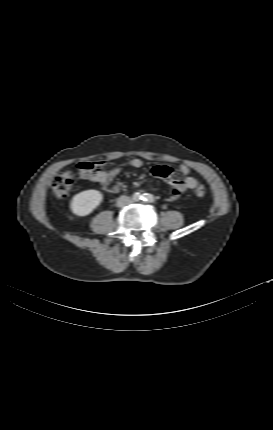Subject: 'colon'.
Instances as JSON below:
<instances>
[{
  "instance_id": "5ec220e1",
  "label": "colon",
  "mask_w": 273,
  "mask_h": 430,
  "mask_svg": "<svg viewBox=\"0 0 273 430\" xmlns=\"http://www.w3.org/2000/svg\"><path fill=\"white\" fill-rule=\"evenodd\" d=\"M79 179H81L80 174L73 173L71 171L57 174L51 182L54 195L59 199L65 198L69 195L76 181ZM206 191L207 190L204 185H198L195 188L194 193L197 197H203L206 194Z\"/></svg>"
}]
</instances>
